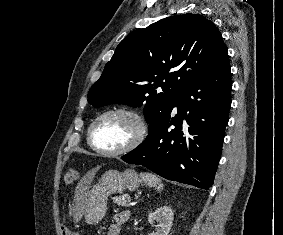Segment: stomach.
Listing matches in <instances>:
<instances>
[{"mask_svg": "<svg viewBox=\"0 0 283 235\" xmlns=\"http://www.w3.org/2000/svg\"><path fill=\"white\" fill-rule=\"evenodd\" d=\"M141 184L138 173L133 169L124 172L106 171L99 182L81 196L80 208L88 224L100 222L107 211V200L111 194L122 193L126 189L136 190Z\"/></svg>", "mask_w": 283, "mask_h": 235, "instance_id": "0dacf381", "label": "stomach"}]
</instances>
